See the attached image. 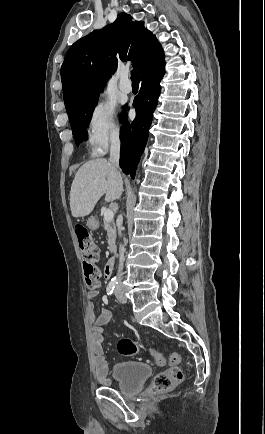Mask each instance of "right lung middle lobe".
Instances as JSON below:
<instances>
[{"instance_id": "dd1d6c3e", "label": "right lung middle lobe", "mask_w": 265, "mask_h": 434, "mask_svg": "<svg viewBox=\"0 0 265 434\" xmlns=\"http://www.w3.org/2000/svg\"><path fill=\"white\" fill-rule=\"evenodd\" d=\"M98 96L99 91H96L78 100L65 103L72 132L77 144L87 139L86 128L89 125Z\"/></svg>"}]
</instances>
